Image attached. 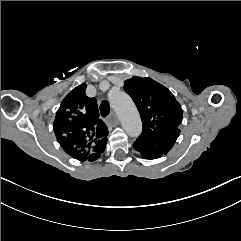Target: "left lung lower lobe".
<instances>
[{"mask_svg": "<svg viewBox=\"0 0 241 241\" xmlns=\"http://www.w3.org/2000/svg\"><path fill=\"white\" fill-rule=\"evenodd\" d=\"M179 133L180 131L165 135L162 143L156 148L144 147L138 142H134L133 147L140 152L145 159H157L165 155L172 148Z\"/></svg>", "mask_w": 241, "mask_h": 241, "instance_id": "1", "label": "left lung lower lobe"}]
</instances>
